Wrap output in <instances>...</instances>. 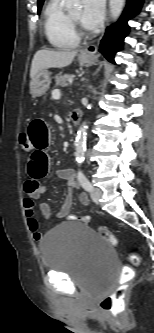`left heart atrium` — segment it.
Wrapping results in <instances>:
<instances>
[{"mask_svg":"<svg viewBox=\"0 0 154 333\" xmlns=\"http://www.w3.org/2000/svg\"><path fill=\"white\" fill-rule=\"evenodd\" d=\"M105 0H83L82 25L93 30L99 27L104 15Z\"/></svg>","mask_w":154,"mask_h":333,"instance_id":"39dd6f15","label":"left heart atrium"}]
</instances>
